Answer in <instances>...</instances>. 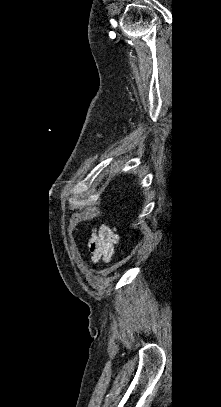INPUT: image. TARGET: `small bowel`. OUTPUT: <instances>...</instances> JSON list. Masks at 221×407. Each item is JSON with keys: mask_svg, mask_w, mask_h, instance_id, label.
Returning a JSON list of instances; mask_svg holds the SVG:
<instances>
[{"mask_svg": "<svg viewBox=\"0 0 221 407\" xmlns=\"http://www.w3.org/2000/svg\"><path fill=\"white\" fill-rule=\"evenodd\" d=\"M119 240V235L115 229L102 225L91 232L87 247L93 262L108 260L114 254L115 244Z\"/></svg>", "mask_w": 221, "mask_h": 407, "instance_id": "1", "label": "small bowel"}]
</instances>
